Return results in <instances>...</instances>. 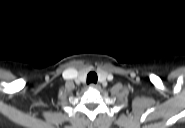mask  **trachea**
I'll return each mask as SVG.
<instances>
[{
    "label": "trachea",
    "instance_id": "1",
    "mask_svg": "<svg viewBox=\"0 0 185 128\" xmlns=\"http://www.w3.org/2000/svg\"><path fill=\"white\" fill-rule=\"evenodd\" d=\"M97 79H98L97 74L95 72H90L87 75V84H90V83L96 84Z\"/></svg>",
    "mask_w": 185,
    "mask_h": 128
}]
</instances>
